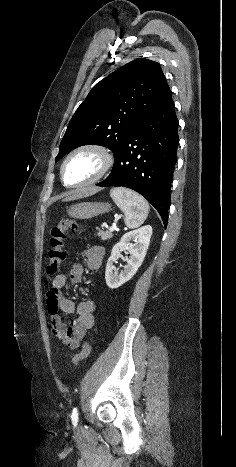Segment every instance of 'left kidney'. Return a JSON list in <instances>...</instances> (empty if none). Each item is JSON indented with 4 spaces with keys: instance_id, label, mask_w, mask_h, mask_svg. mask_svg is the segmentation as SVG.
<instances>
[{
    "instance_id": "5707ae66",
    "label": "left kidney",
    "mask_w": 236,
    "mask_h": 467,
    "mask_svg": "<svg viewBox=\"0 0 236 467\" xmlns=\"http://www.w3.org/2000/svg\"><path fill=\"white\" fill-rule=\"evenodd\" d=\"M151 235L152 227L146 225L137 230L125 233L121 240L113 247L105 271V280L109 288L116 289L135 275L144 260ZM131 241H135V244H132ZM123 250H128L130 257L125 259L127 264L124 269L118 273L114 271V263Z\"/></svg>"
}]
</instances>
